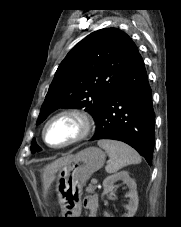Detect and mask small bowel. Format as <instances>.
Returning a JSON list of instances; mask_svg holds the SVG:
<instances>
[{"label":"small bowel","instance_id":"small-bowel-1","mask_svg":"<svg viewBox=\"0 0 181 227\" xmlns=\"http://www.w3.org/2000/svg\"><path fill=\"white\" fill-rule=\"evenodd\" d=\"M84 205L89 210L90 216H96L98 213V198L96 195H89L84 199Z\"/></svg>","mask_w":181,"mask_h":227}]
</instances>
